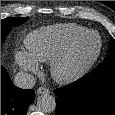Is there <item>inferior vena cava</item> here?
I'll list each match as a JSON object with an SVG mask.
<instances>
[{
    "mask_svg": "<svg viewBox=\"0 0 115 115\" xmlns=\"http://www.w3.org/2000/svg\"><path fill=\"white\" fill-rule=\"evenodd\" d=\"M35 83L34 76L27 72L20 71L14 77V85L22 89H31Z\"/></svg>",
    "mask_w": 115,
    "mask_h": 115,
    "instance_id": "602c4592",
    "label": "inferior vena cava"
}]
</instances>
